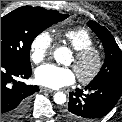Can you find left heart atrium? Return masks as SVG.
<instances>
[{
  "label": "left heart atrium",
  "mask_w": 122,
  "mask_h": 122,
  "mask_svg": "<svg viewBox=\"0 0 122 122\" xmlns=\"http://www.w3.org/2000/svg\"><path fill=\"white\" fill-rule=\"evenodd\" d=\"M35 79L38 84L44 87L58 89L73 84L76 75L71 68L44 64L36 69Z\"/></svg>",
  "instance_id": "39dd6f15"
}]
</instances>
